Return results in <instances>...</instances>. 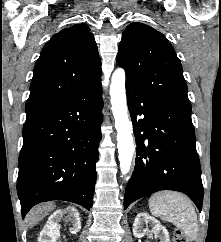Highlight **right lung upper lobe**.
<instances>
[{
    "label": "right lung upper lobe",
    "instance_id": "cb5924a9",
    "mask_svg": "<svg viewBox=\"0 0 221 242\" xmlns=\"http://www.w3.org/2000/svg\"><path fill=\"white\" fill-rule=\"evenodd\" d=\"M101 74L97 44L89 27L77 24L65 28L42 49L25 108L64 98Z\"/></svg>",
    "mask_w": 221,
    "mask_h": 242
}]
</instances>
